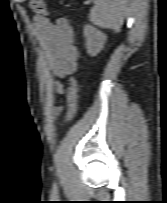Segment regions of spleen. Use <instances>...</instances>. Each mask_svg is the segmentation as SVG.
Returning a JSON list of instances; mask_svg holds the SVG:
<instances>
[{
    "instance_id": "spleen-1",
    "label": "spleen",
    "mask_w": 167,
    "mask_h": 203,
    "mask_svg": "<svg viewBox=\"0 0 167 203\" xmlns=\"http://www.w3.org/2000/svg\"><path fill=\"white\" fill-rule=\"evenodd\" d=\"M89 20L101 28L119 31L127 14V0H95Z\"/></svg>"
}]
</instances>
